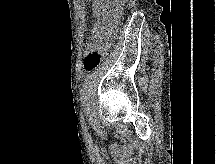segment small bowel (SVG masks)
Masks as SVG:
<instances>
[{
	"mask_svg": "<svg viewBox=\"0 0 216 164\" xmlns=\"http://www.w3.org/2000/svg\"><path fill=\"white\" fill-rule=\"evenodd\" d=\"M123 0H93L95 17L93 31L87 43V50L102 47L103 41L112 35L113 25L122 9Z\"/></svg>",
	"mask_w": 216,
	"mask_h": 164,
	"instance_id": "small-bowel-1",
	"label": "small bowel"
}]
</instances>
